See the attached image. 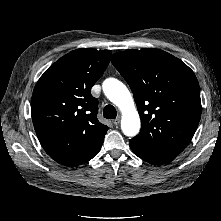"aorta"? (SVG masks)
<instances>
[{"label": "aorta", "instance_id": "aorta-1", "mask_svg": "<svg viewBox=\"0 0 221 221\" xmlns=\"http://www.w3.org/2000/svg\"><path fill=\"white\" fill-rule=\"evenodd\" d=\"M103 91L106 97L122 112V132L129 137L137 135L141 121L128 88L119 80L109 78L103 82Z\"/></svg>", "mask_w": 221, "mask_h": 221}]
</instances>
